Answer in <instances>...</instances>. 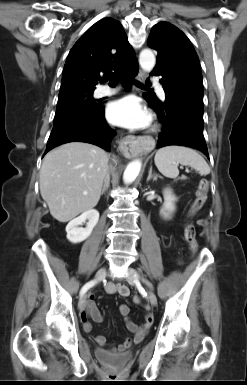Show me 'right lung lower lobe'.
Listing matches in <instances>:
<instances>
[{
	"label": "right lung lower lobe",
	"mask_w": 247,
	"mask_h": 385,
	"mask_svg": "<svg viewBox=\"0 0 247 385\" xmlns=\"http://www.w3.org/2000/svg\"><path fill=\"white\" fill-rule=\"evenodd\" d=\"M138 72V65L121 75L127 89L132 78ZM114 130L108 127L104 118V107L97 105L93 109H80L55 117L54 126L49 136L45 154L63 143L79 141L98 145L110 150Z\"/></svg>",
	"instance_id": "98d812e1"
}]
</instances>
